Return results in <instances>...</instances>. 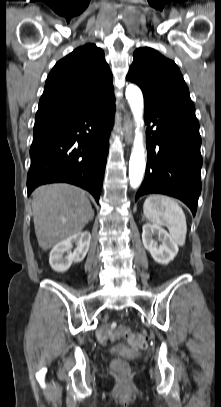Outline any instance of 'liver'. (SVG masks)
I'll list each match as a JSON object with an SVG mask.
<instances>
[{
	"instance_id": "obj_1",
	"label": "liver",
	"mask_w": 221,
	"mask_h": 407,
	"mask_svg": "<svg viewBox=\"0 0 221 407\" xmlns=\"http://www.w3.org/2000/svg\"><path fill=\"white\" fill-rule=\"evenodd\" d=\"M32 212L35 234L43 250L80 233L93 217L85 192L65 183L38 187L33 192Z\"/></svg>"
}]
</instances>
